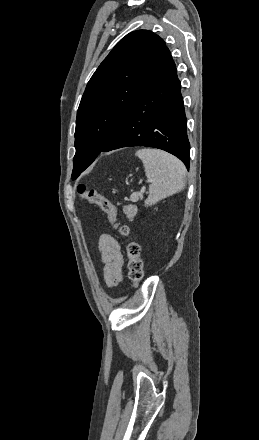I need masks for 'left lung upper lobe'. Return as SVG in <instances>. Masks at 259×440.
I'll return each mask as SVG.
<instances>
[{
  "label": "left lung upper lobe",
  "mask_w": 259,
  "mask_h": 440,
  "mask_svg": "<svg viewBox=\"0 0 259 440\" xmlns=\"http://www.w3.org/2000/svg\"><path fill=\"white\" fill-rule=\"evenodd\" d=\"M148 30L129 33L97 68L82 96L76 119L72 179L112 141L146 87L165 49Z\"/></svg>",
  "instance_id": "1"
}]
</instances>
